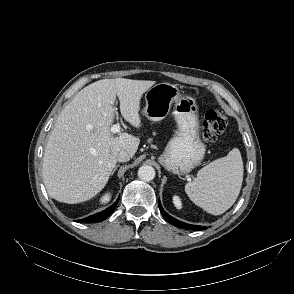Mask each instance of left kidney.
Here are the masks:
<instances>
[{
	"mask_svg": "<svg viewBox=\"0 0 294 294\" xmlns=\"http://www.w3.org/2000/svg\"><path fill=\"white\" fill-rule=\"evenodd\" d=\"M173 203L178 209H180L182 207L181 200L178 196L173 197Z\"/></svg>",
	"mask_w": 294,
	"mask_h": 294,
	"instance_id": "left-kidney-1",
	"label": "left kidney"
}]
</instances>
